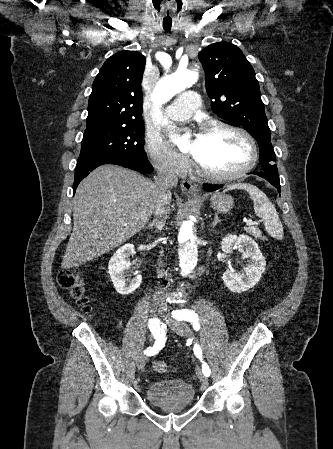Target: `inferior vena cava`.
<instances>
[{
	"label": "inferior vena cava",
	"mask_w": 333,
	"mask_h": 449,
	"mask_svg": "<svg viewBox=\"0 0 333 449\" xmlns=\"http://www.w3.org/2000/svg\"><path fill=\"white\" fill-rule=\"evenodd\" d=\"M178 179L173 169L160 165L158 166L157 178L155 180V188L157 191V201L154 208V214L158 218H162L164 215L169 214V193L170 188L175 186ZM156 301V297H153Z\"/></svg>",
	"instance_id": "1"
}]
</instances>
